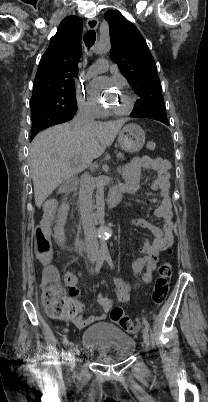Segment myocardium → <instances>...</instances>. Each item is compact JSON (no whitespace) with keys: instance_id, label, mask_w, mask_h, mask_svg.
<instances>
[{"instance_id":"myocardium-1","label":"myocardium","mask_w":208,"mask_h":402,"mask_svg":"<svg viewBox=\"0 0 208 402\" xmlns=\"http://www.w3.org/2000/svg\"><path fill=\"white\" fill-rule=\"evenodd\" d=\"M124 93L128 97V101L125 106L123 107H114L113 105H106L105 108L108 109L110 112L117 114V115H128L133 112L135 106H136V97L135 95L126 89Z\"/></svg>"}]
</instances>
